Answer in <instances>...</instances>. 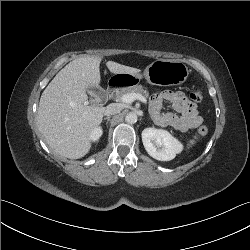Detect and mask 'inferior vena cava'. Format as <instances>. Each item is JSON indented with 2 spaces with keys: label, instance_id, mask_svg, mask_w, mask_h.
<instances>
[{
  "label": "inferior vena cava",
  "instance_id": "inferior-vena-cava-1",
  "mask_svg": "<svg viewBox=\"0 0 250 250\" xmlns=\"http://www.w3.org/2000/svg\"><path fill=\"white\" fill-rule=\"evenodd\" d=\"M121 110H122V107L119 104L113 103V104L108 105L105 108L104 115L106 116L115 115V114L120 113Z\"/></svg>",
  "mask_w": 250,
  "mask_h": 250
}]
</instances>
